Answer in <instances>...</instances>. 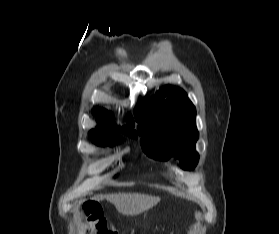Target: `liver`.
Wrapping results in <instances>:
<instances>
[{"label": "liver", "instance_id": "1", "mask_svg": "<svg viewBox=\"0 0 279 234\" xmlns=\"http://www.w3.org/2000/svg\"><path fill=\"white\" fill-rule=\"evenodd\" d=\"M105 197L115 206L119 213L130 216L139 215L160 201V197L139 193H118ZM98 199H102V197Z\"/></svg>", "mask_w": 279, "mask_h": 234}]
</instances>
